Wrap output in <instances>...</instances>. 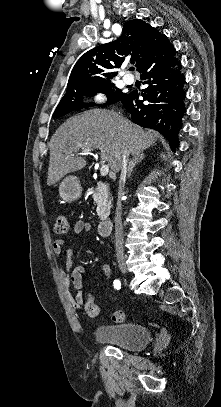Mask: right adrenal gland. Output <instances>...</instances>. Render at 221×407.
Masks as SVG:
<instances>
[{
	"mask_svg": "<svg viewBox=\"0 0 221 407\" xmlns=\"http://www.w3.org/2000/svg\"><path fill=\"white\" fill-rule=\"evenodd\" d=\"M144 154L143 153H139L136 154L132 157L131 161L128 164V169H127V177L130 178L131 173L133 168L135 167V165L139 162H141L144 159Z\"/></svg>",
	"mask_w": 221,
	"mask_h": 407,
	"instance_id": "obj_1",
	"label": "right adrenal gland"
}]
</instances>
